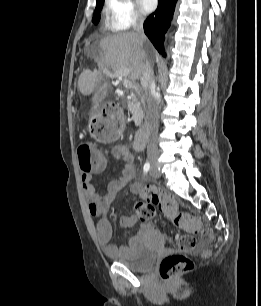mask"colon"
<instances>
[{"label": "colon", "mask_w": 261, "mask_h": 306, "mask_svg": "<svg viewBox=\"0 0 261 306\" xmlns=\"http://www.w3.org/2000/svg\"><path fill=\"white\" fill-rule=\"evenodd\" d=\"M107 109L112 114V119L109 122L98 120L91 127L93 137L102 142L115 140L122 129L121 114L117 105L111 103L107 106ZM77 152L82 171H89L104 160L103 154L98 151L93 152L88 142L81 143L78 146ZM156 206L177 227L187 232L176 238L177 252L166 256L160 262V276L165 280H170L194 268L192 259L185 255L184 252L195 248V234L199 233L201 228L195 217L187 212L178 210L174 199L151 187L146 189L144 198L136 203V215L142 221H149L156 214Z\"/></svg>", "instance_id": "1"}]
</instances>
